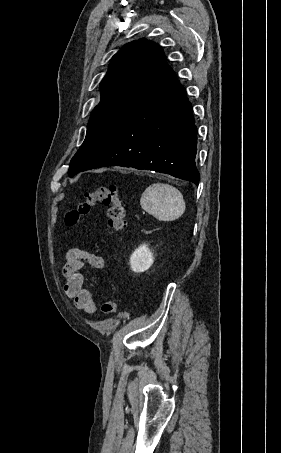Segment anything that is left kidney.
Instances as JSON below:
<instances>
[{
    "label": "left kidney",
    "instance_id": "1",
    "mask_svg": "<svg viewBox=\"0 0 281 453\" xmlns=\"http://www.w3.org/2000/svg\"><path fill=\"white\" fill-rule=\"evenodd\" d=\"M153 263V253L148 249V245H140L130 257L131 269L135 273H144Z\"/></svg>",
    "mask_w": 281,
    "mask_h": 453
}]
</instances>
